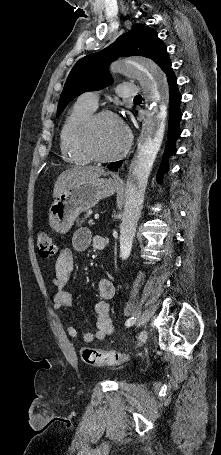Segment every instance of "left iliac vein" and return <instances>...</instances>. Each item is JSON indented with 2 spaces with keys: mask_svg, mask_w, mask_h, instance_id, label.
Listing matches in <instances>:
<instances>
[{
  "mask_svg": "<svg viewBox=\"0 0 221 455\" xmlns=\"http://www.w3.org/2000/svg\"><path fill=\"white\" fill-rule=\"evenodd\" d=\"M148 333L146 330H142L138 336L137 347L141 346L147 340Z\"/></svg>",
  "mask_w": 221,
  "mask_h": 455,
  "instance_id": "left-iliac-vein-1",
  "label": "left iliac vein"
}]
</instances>
